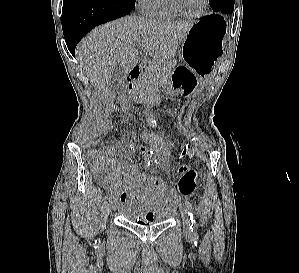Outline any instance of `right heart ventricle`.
Masks as SVG:
<instances>
[{"mask_svg": "<svg viewBox=\"0 0 299 273\" xmlns=\"http://www.w3.org/2000/svg\"><path fill=\"white\" fill-rule=\"evenodd\" d=\"M144 14L153 19H174L179 16L167 0H151Z\"/></svg>", "mask_w": 299, "mask_h": 273, "instance_id": "1", "label": "right heart ventricle"}]
</instances>
